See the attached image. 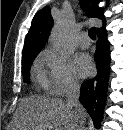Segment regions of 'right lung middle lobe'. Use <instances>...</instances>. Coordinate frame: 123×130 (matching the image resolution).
<instances>
[{"label": "right lung middle lobe", "instance_id": "1", "mask_svg": "<svg viewBox=\"0 0 123 130\" xmlns=\"http://www.w3.org/2000/svg\"><path fill=\"white\" fill-rule=\"evenodd\" d=\"M37 54H31L22 57V74L26 82L29 81L30 78V67Z\"/></svg>", "mask_w": 123, "mask_h": 130}]
</instances>
